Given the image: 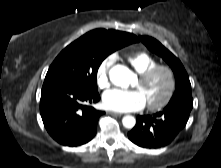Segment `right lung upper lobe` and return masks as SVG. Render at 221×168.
I'll list each match as a JSON object with an SVG mask.
<instances>
[{
    "label": "right lung upper lobe",
    "instance_id": "cb5924a9",
    "mask_svg": "<svg viewBox=\"0 0 221 168\" xmlns=\"http://www.w3.org/2000/svg\"><path fill=\"white\" fill-rule=\"evenodd\" d=\"M92 32L100 33V34L106 35L108 37L122 38L130 43L138 41V38L135 35H133L131 33L116 31V30L96 29V30H93Z\"/></svg>",
    "mask_w": 221,
    "mask_h": 168
}]
</instances>
